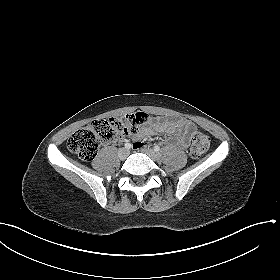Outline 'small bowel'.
<instances>
[{"instance_id":"c3829d8e","label":"small bowel","mask_w":280,"mask_h":280,"mask_svg":"<svg viewBox=\"0 0 280 280\" xmlns=\"http://www.w3.org/2000/svg\"><path fill=\"white\" fill-rule=\"evenodd\" d=\"M195 125L186 119H170L158 117L151 121V123L139 129L133 137L137 140L135 146L142 147L140 140L146 136H153L158 134L174 135L179 133V143L183 146L187 145L188 137L195 131Z\"/></svg>"}]
</instances>
